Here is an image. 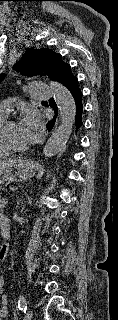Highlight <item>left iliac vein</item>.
<instances>
[{"instance_id": "obj_1", "label": "left iliac vein", "mask_w": 118, "mask_h": 320, "mask_svg": "<svg viewBox=\"0 0 118 320\" xmlns=\"http://www.w3.org/2000/svg\"><path fill=\"white\" fill-rule=\"evenodd\" d=\"M33 317V310H29L24 317V320H31Z\"/></svg>"}]
</instances>
